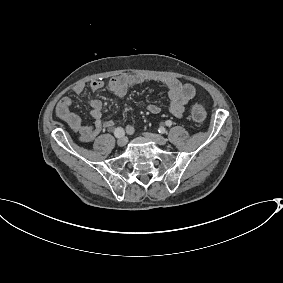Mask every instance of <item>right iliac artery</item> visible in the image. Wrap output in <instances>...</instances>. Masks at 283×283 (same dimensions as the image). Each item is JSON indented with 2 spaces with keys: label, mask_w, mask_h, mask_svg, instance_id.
<instances>
[{
  "label": "right iliac artery",
  "mask_w": 283,
  "mask_h": 283,
  "mask_svg": "<svg viewBox=\"0 0 283 283\" xmlns=\"http://www.w3.org/2000/svg\"><path fill=\"white\" fill-rule=\"evenodd\" d=\"M114 135H115V137L120 138V137H123L125 135V132H124L123 128L119 127V128H116L114 130Z\"/></svg>",
  "instance_id": "1"
}]
</instances>
